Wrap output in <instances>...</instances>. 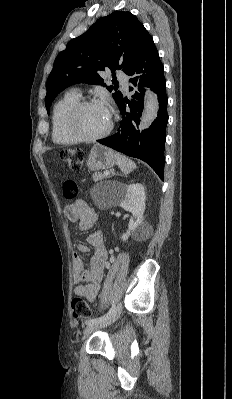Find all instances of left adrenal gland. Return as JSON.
Here are the masks:
<instances>
[{"mask_svg": "<svg viewBox=\"0 0 232 399\" xmlns=\"http://www.w3.org/2000/svg\"><path fill=\"white\" fill-rule=\"evenodd\" d=\"M112 176H120V174H115V172H114V174H112Z\"/></svg>", "mask_w": 232, "mask_h": 399, "instance_id": "obj_1", "label": "left adrenal gland"}]
</instances>
